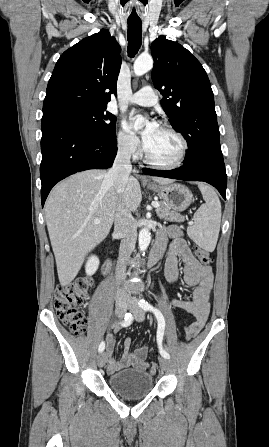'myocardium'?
Wrapping results in <instances>:
<instances>
[{
  "instance_id": "obj_1",
  "label": "myocardium",
  "mask_w": 269,
  "mask_h": 447,
  "mask_svg": "<svg viewBox=\"0 0 269 447\" xmlns=\"http://www.w3.org/2000/svg\"><path fill=\"white\" fill-rule=\"evenodd\" d=\"M160 127L172 132L181 140L182 148H181L180 154L174 163L165 164V163L157 162L151 158V156L149 155V152L147 150L145 141H143L142 146H143L144 160L146 163H148L154 167L160 168V169H165V170L177 169L182 166V164L184 163V161L186 159L188 149H189L188 140L182 132H180L178 129H176L175 127H173L171 125L163 124Z\"/></svg>"
}]
</instances>
